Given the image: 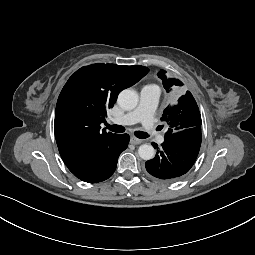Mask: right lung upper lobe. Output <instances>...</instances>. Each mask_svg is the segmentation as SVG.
<instances>
[{
  "instance_id": "right-lung-upper-lobe-1",
  "label": "right lung upper lobe",
  "mask_w": 255,
  "mask_h": 255,
  "mask_svg": "<svg viewBox=\"0 0 255 255\" xmlns=\"http://www.w3.org/2000/svg\"><path fill=\"white\" fill-rule=\"evenodd\" d=\"M148 71L138 65L92 64L68 79L59 95L54 121L57 146L65 164L117 139L119 134L100 130V124L120 91L137 83Z\"/></svg>"
}]
</instances>
